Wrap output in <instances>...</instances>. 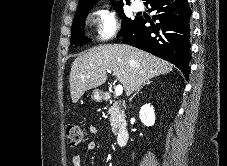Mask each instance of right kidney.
Segmentation results:
<instances>
[{"label": "right kidney", "instance_id": "right-kidney-1", "mask_svg": "<svg viewBox=\"0 0 227 166\" xmlns=\"http://www.w3.org/2000/svg\"><path fill=\"white\" fill-rule=\"evenodd\" d=\"M139 117L145 126H153L155 123V113L153 107L150 106V104L143 105L139 111Z\"/></svg>", "mask_w": 227, "mask_h": 166}]
</instances>
